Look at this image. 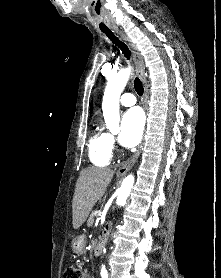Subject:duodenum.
I'll return each instance as SVG.
<instances>
[{"label":"duodenum","mask_w":221,"mask_h":278,"mask_svg":"<svg viewBox=\"0 0 221 278\" xmlns=\"http://www.w3.org/2000/svg\"><path fill=\"white\" fill-rule=\"evenodd\" d=\"M106 241H107V236L106 234H103L102 238L95 242L93 246L94 256H99L102 254Z\"/></svg>","instance_id":"duodenum-1"}]
</instances>
